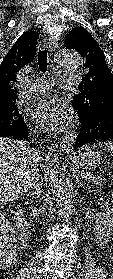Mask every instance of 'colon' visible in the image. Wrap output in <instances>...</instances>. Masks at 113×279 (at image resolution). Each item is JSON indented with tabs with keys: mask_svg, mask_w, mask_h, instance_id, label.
<instances>
[{
	"mask_svg": "<svg viewBox=\"0 0 113 279\" xmlns=\"http://www.w3.org/2000/svg\"><path fill=\"white\" fill-rule=\"evenodd\" d=\"M14 239L8 220L0 214V262L12 257Z\"/></svg>",
	"mask_w": 113,
	"mask_h": 279,
	"instance_id": "colon-1",
	"label": "colon"
}]
</instances>
